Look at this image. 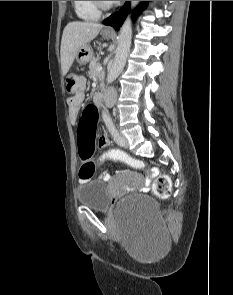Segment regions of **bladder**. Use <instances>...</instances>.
Masks as SVG:
<instances>
[{"label":"bladder","mask_w":233,"mask_h":295,"mask_svg":"<svg viewBox=\"0 0 233 295\" xmlns=\"http://www.w3.org/2000/svg\"><path fill=\"white\" fill-rule=\"evenodd\" d=\"M76 198L80 205L98 212H106L110 207V191L101 180H90L76 189ZM120 212L138 213L147 220L159 217L156 201L147 195H132L120 203Z\"/></svg>","instance_id":"obj_1"}]
</instances>
